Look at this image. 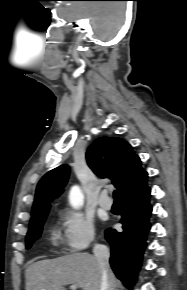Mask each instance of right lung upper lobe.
Returning <instances> with one entry per match:
<instances>
[{
	"label": "right lung upper lobe",
	"instance_id": "cb5924a9",
	"mask_svg": "<svg viewBox=\"0 0 187 290\" xmlns=\"http://www.w3.org/2000/svg\"><path fill=\"white\" fill-rule=\"evenodd\" d=\"M87 161L101 178H110L117 188L121 204L138 201L150 193L148 174L132 146L118 137H101L89 147ZM69 175L67 165L46 173L39 181L32 207L31 221L49 212L50 202L63 191Z\"/></svg>",
	"mask_w": 187,
	"mask_h": 290
}]
</instances>
